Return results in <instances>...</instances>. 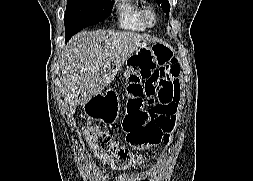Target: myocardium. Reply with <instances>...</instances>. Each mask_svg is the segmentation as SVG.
I'll return each mask as SVG.
<instances>
[{
	"instance_id": "f54148a6",
	"label": "myocardium",
	"mask_w": 253,
	"mask_h": 181,
	"mask_svg": "<svg viewBox=\"0 0 253 181\" xmlns=\"http://www.w3.org/2000/svg\"><path fill=\"white\" fill-rule=\"evenodd\" d=\"M143 18L147 26H154L157 21L155 10L151 7H146L143 12Z\"/></svg>"
}]
</instances>
